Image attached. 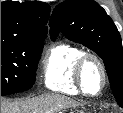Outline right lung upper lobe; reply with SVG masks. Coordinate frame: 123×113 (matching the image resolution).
<instances>
[{
  "label": "right lung upper lobe",
  "mask_w": 123,
  "mask_h": 113,
  "mask_svg": "<svg viewBox=\"0 0 123 113\" xmlns=\"http://www.w3.org/2000/svg\"><path fill=\"white\" fill-rule=\"evenodd\" d=\"M50 6L40 1L1 2V42L44 38Z\"/></svg>",
  "instance_id": "cb5924a9"
}]
</instances>
